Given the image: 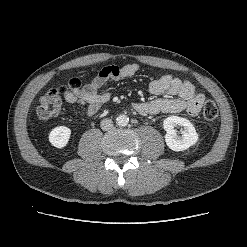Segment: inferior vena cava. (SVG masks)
<instances>
[{"label":"inferior vena cava","mask_w":247,"mask_h":247,"mask_svg":"<svg viewBox=\"0 0 247 247\" xmlns=\"http://www.w3.org/2000/svg\"><path fill=\"white\" fill-rule=\"evenodd\" d=\"M100 127L104 131L110 130L113 127V121L111 119L105 118L100 122Z\"/></svg>","instance_id":"602c4592"}]
</instances>
